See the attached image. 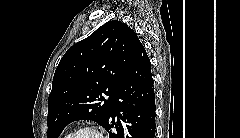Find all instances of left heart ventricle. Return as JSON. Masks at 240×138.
Instances as JSON below:
<instances>
[{
  "label": "left heart ventricle",
  "mask_w": 240,
  "mask_h": 138,
  "mask_svg": "<svg viewBox=\"0 0 240 138\" xmlns=\"http://www.w3.org/2000/svg\"><path fill=\"white\" fill-rule=\"evenodd\" d=\"M78 138H97L94 133L91 132H83L81 133Z\"/></svg>",
  "instance_id": "obj_1"
}]
</instances>
